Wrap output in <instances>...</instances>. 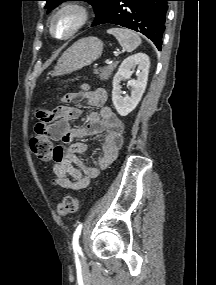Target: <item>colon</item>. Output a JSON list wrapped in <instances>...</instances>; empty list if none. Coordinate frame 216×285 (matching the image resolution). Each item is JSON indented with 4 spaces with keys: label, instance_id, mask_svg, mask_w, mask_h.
<instances>
[{
    "label": "colon",
    "instance_id": "1",
    "mask_svg": "<svg viewBox=\"0 0 216 285\" xmlns=\"http://www.w3.org/2000/svg\"><path fill=\"white\" fill-rule=\"evenodd\" d=\"M30 147L32 152L41 161H50L55 157V148L48 136H38L31 138ZM79 208V201L75 197L67 196L57 205V212L61 216L75 213Z\"/></svg>",
    "mask_w": 216,
    "mask_h": 285
}]
</instances>
